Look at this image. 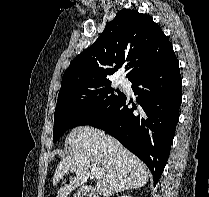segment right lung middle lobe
<instances>
[{"label":"right lung middle lobe","mask_w":209,"mask_h":197,"mask_svg":"<svg viewBox=\"0 0 209 197\" xmlns=\"http://www.w3.org/2000/svg\"><path fill=\"white\" fill-rule=\"evenodd\" d=\"M124 93L110 87V81L80 83L60 89L54 114L53 142L69 128L87 125Z\"/></svg>","instance_id":"1"}]
</instances>
